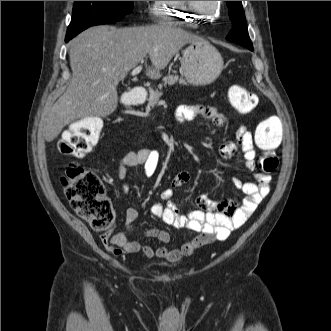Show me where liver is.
<instances>
[{"mask_svg": "<svg viewBox=\"0 0 331 331\" xmlns=\"http://www.w3.org/2000/svg\"><path fill=\"white\" fill-rule=\"evenodd\" d=\"M199 40L203 39L170 23L83 31L70 42V84L43 121L46 141H53L76 119L112 114L118 105V83L147 55L152 67L146 75L158 79L185 44Z\"/></svg>", "mask_w": 331, "mask_h": 331, "instance_id": "obj_1", "label": "liver"}]
</instances>
